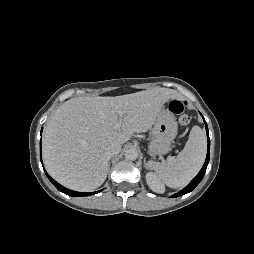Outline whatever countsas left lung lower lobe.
I'll use <instances>...</instances> for the list:
<instances>
[{
  "label": "left lung lower lobe",
  "instance_id": "1",
  "mask_svg": "<svg viewBox=\"0 0 254 254\" xmlns=\"http://www.w3.org/2000/svg\"><path fill=\"white\" fill-rule=\"evenodd\" d=\"M203 120H204V117H203ZM204 122H205V125H206L207 140H208V151H207V157H206L205 163H204L202 169L200 170V172L198 173V175L184 189H182L180 192L174 194L172 197H180L184 194H187V193L191 192L200 183V181L204 177L207 165L209 163V155H210V138L208 136L207 123H206L205 120H204Z\"/></svg>",
  "mask_w": 254,
  "mask_h": 254
}]
</instances>
